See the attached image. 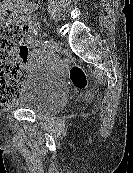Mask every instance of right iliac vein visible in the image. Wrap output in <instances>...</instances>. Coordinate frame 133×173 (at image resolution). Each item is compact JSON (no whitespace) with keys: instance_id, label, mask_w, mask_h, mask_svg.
I'll return each mask as SVG.
<instances>
[{"instance_id":"1","label":"right iliac vein","mask_w":133,"mask_h":173,"mask_svg":"<svg viewBox=\"0 0 133 173\" xmlns=\"http://www.w3.org/2000/svg\"><path fill=\"white\" fill-rule=\"evenodd\" d=\"M56 47H57L56 42L51 39L50 43H49V46H48V49H47L46 56L50 57L55 52Z\"/></svg>"}]
</instances>
